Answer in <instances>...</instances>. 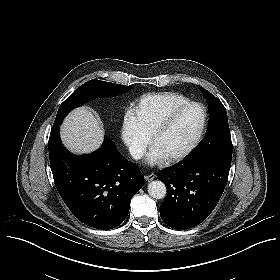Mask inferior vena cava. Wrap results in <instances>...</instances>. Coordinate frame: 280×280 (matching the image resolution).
<instances>
[{
  "instance_id": "obj_1",
  "label": "inferior vena cava",
  "mask_w": 280,
  "mask_h": 280,
  "mask_svg": "<svg viewBox=\"0 0 280 280\" xmlns=\"http://www.w3.org/2000/svg\"><path fill=\"white\" fill-rule=\"evenodd\" d=\"M129 152L134 159H140L144 155V149L138 145H131Z\"/></svg>"
}]
</instances>
